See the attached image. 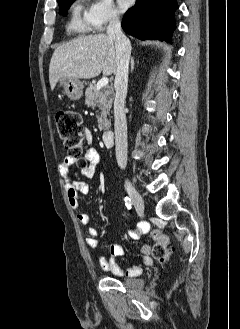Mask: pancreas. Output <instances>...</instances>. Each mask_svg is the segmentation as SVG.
<instances>
[{
    "label": "pancreas",
    "instance_id": "cf45deb5",
    "mask_svg": "<svg viewBox=\"0 0 240 329\" xmlns=\"http://www.w3.org/2000/svg\"><path fill=\"white\" fill-rule=\"evenodd\" d=\"M112 101V90L110 88L104 87L98 91L96 86L91 83L85 91V104L92 109L99 108L97 119L100 131H106L111 126L108 115L112 107Z\"/></svg>",
    "mask_w": 240,
    "mask_h": 329
}]
</instances>
